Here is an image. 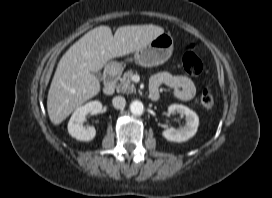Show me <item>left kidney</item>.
Listing matches in <instances>:
<instances>
[{
	"instance_id": "left-kidney-1",
	"label": "left kidney",
	"mask_w": 272,
	"mask_h": 198,
	"mask_svg": "<svg viewBox=\"0 0 272 198\" xmlns=\"http://www.w3.org/2000/svg\"><path fill=\"white\" fill-rule=\"evenodd\" d=\"M169 114H180L186 117V123L184 127L180 129L169 128L162 132V136L171 142H185L193 137L198 129L199 117L198 115L181 104H172L168 107Z\"/></svg>"
}]
</instances>
